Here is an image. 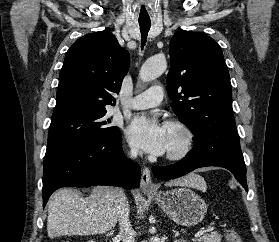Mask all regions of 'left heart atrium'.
<instances>
[{
    "label": "left heart atrium",
    "mask_w": 279,
    "mask_h": 242,
    "mask_svg": "<svg viewBox=\"0 0 279 242\" xmlns=\"http://www.w3.org/2000/svg\"><path fill=\"white\" fill-rule=\"evenodd\" d=\"M128 138L145 152L160 156L167 152V126L156 117L137 116L129 125Z\"/></svg>",
    "instance_id": "1"
}]
</instances>
